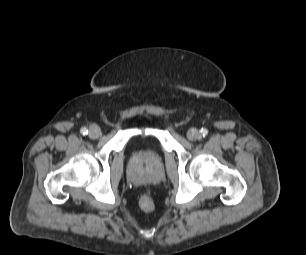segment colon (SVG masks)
I'll use <instances>...</instances> for the list:
<instances>
[{"mask_svg":"<svg viewBox=\"0 0 306 255\" xmlns=\"http://www.w3.org/2000/svg\"><path fill=\"white\" fill-rule=\"evenodd\" d=\"M139 205L142 210L152 212L155 208L153 199L149 193H144L139 199Z\"/></svg>","mask_w":306,"mask_h":255,"instance_id":"obj_1","label":"colon"}]
</instances>
